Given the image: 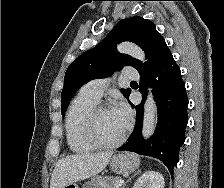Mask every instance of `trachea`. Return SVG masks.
<instances>
[{
	"label": "trachea",
	"instance_id": "3493384b",
	"mask_svg": "<svg viewBox=\"0 0 224 188\" xmlns=\"http://www.w3.org/2000/svg\"><path fill=\"white\" fill-rule=\"evenodd\" d=\"M131 83H136V81H132Z\"/></svg>",
	"mask_w": 224,
	"mask_h": 188
}]
</instances>
